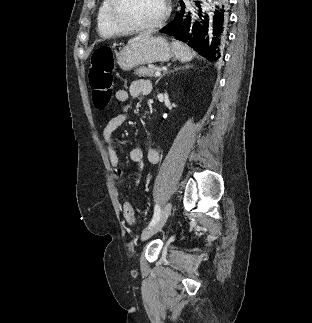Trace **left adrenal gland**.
<instances>
[{
  "instance_id": "1",
  "label": "left adrenal gland",
  "mask_w": 312,
  "mask_h": 323,
  "mask_svg": "<svg viewBox=\"0 0 312 323\" xmlns=\"http://www.w3.org/2000/svg\"><path fill=\"white\" fill-rule=\"evenodd\" d=\"M185 68H193V66H185ZM163 76H165V74H163ZM162 76H160V78H158L156 84H158L159 80H161Z\"/></svg>"
}]
</instances>
